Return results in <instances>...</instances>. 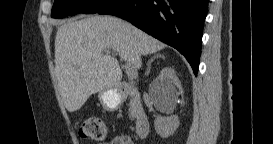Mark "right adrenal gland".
<instances>
[{
	"label": "right adrenal gland",
	"mask_w": 273,
	"mask_h": 144,
	"mask_svg": "<svg viewBox=\"0 0 273 144\" xmlns=\"http://www.w3.org/2000/svg\"><path fill=\"white\" fill-rule=\"evenodd\" d=\"M157 57L164 58V55H162V54L154 55V56L148 61V63H147V67H148V68H147V72H146L147 75H149L150 70H151V62H152L155 58H157Z\"/></svg>",
	"instance_id": "right-adrenal-gland-1"
}]
</instances>
